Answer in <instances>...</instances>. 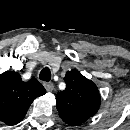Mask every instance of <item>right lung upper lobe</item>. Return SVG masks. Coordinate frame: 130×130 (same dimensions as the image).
<instances>
[{"label":"right lung upper lobe","instance_id":"1","mask_svg":"<svg viewBox=\"0 0 130 130\" xmlns=\"http://www.w3.org/2000/svg\"><path fill=\"white\" fill-rule=\"evenodd\" d=\"M45 93L35 78L24 82L19 73L4 72L0 75V120L7 125L19 123L33 100Z\"/></svg>","mask_w":130,"mask_h":130}]
</instances>
